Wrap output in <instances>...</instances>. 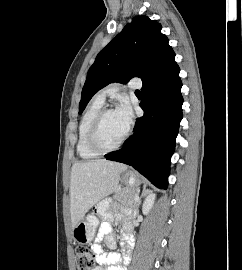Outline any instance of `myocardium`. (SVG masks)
<instances>
[{
  "mask_svg": "<svg viewBox=\"0 0 242 270\" xmlns=\"http://www.w3.org/2000/svg\"><path fill=\"white\" fill-rule=\"evenodd\" d=\"M114 111L116 110L113 108H103L97 114V116L95 117V119L93 120L90 126L88 136H87V144L91 150H93L94 152L98 154H106V153L116 151L125 143V141L127 140L129 136L130 131L128 128L125 134L123 135V137L115 145L111 147H105L100 144L98 136H99V131H100L102 122L109 113L114 112Z\"/></svg>",
  "mask_w": 242,
  "mask_h": 270,
  "instance_id": "myocardium-1",
  "label": "myocardium"
}]
</instances>
